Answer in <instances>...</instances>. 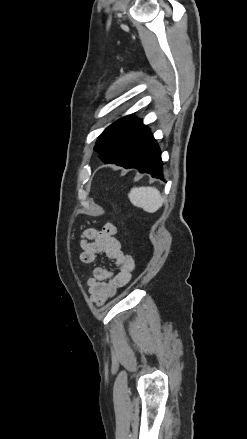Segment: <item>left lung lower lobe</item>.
<instances>
[{"mask_svg":"<svg viewBox=\"0 0 247 439\" xmlns=\"http://www.w3.org/2000/svg\"><path fill=\"white\" fill-rule=\"evenodd\" d=\"M122 166L163 179L160 149L146 126L138 134Z\"/></svg>","mask_w":247,"mask_h":439,"instance_id":"obj_1","label":"left lung lower lobe"}]
</instances>
